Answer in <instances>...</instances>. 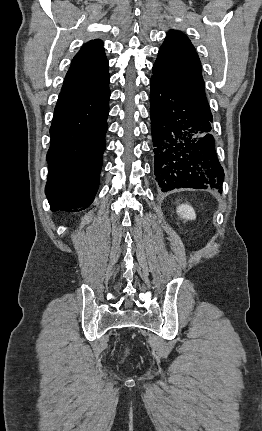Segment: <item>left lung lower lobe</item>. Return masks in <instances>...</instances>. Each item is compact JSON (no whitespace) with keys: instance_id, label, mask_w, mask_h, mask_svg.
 Here are the masks:
<instances>
[{"instance_id":"left-lung-lower-lobe-1","label":"left lung lower lobe","mask_w":262,"mask_h":431,"mask_svg":"<svg viewBox=\"0 0 262 431\" xmlns=\"http://www.w3.org/2000/svg\"><path fill=\"white\" fill-rule=\"evenodd\" d=\"M154 174L162 192L178 188L222 190L224 172L212 135V116L185 96L151 79Z\"/></svg>"}]
</instances>
